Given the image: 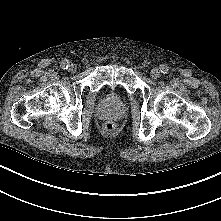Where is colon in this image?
<instances>
[{
    "label": "colon",
    "instance_id": "obj_1",
    "mask_svg": "<svg viewBox=\"0 0 221 221\" xmlns=\"http://www.w3.org/2000/svg\"><path fill=\"white\" fill-rule=\"evenodd\" d=\"M104 128H105V130H106L107 132H112V131L115 130L116 125H115L114 122L108 121V122H106Z\"/></svg>",
    "mask_w": 221,
    "mask_h": 221
}]
</instances>
